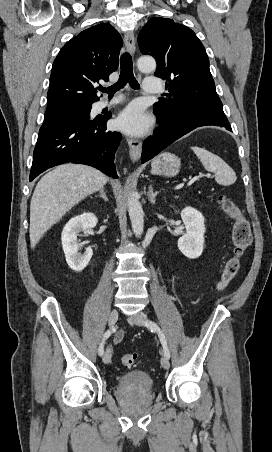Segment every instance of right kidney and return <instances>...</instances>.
<instances>
[{
    "instance_id": "right-kidney-1",
    "label": "right kidney",
    "mask_w": 272,
    "mask_h": 452,
    "mask_svg": "<svg viewBox=\"0 0 272 452\" xmlns=\"http://www.w3.org/2000/svg\"><path fill=\"white\" fill-rule=\"evenodd\" d=\"M97 222L98 219L93 213H83L73 217L63 228L61 240L66 262L76 272L82 271L93 255L91 247H87L83 255L78 252V233L94 228Z\"/></svg>"
}]
</instances>
